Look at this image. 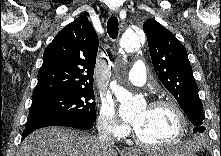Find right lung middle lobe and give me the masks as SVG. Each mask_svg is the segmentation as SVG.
Segmentation results:
<instances>
[{
  "mask_svg": "<svg viewBox=\"0 0 221 156\" xmlns=\"http://www.w3.org/2000/svg\"><path fill=\"white\" fill-rule=\"evenodd\" d=\"M93 89L59 92L35 98L26 126L50 122L96 121Z\"/></svg>",
  "mask_w": 221,
  "mask_h": 156,
  "instance_id": "1",
  "label": "right lung middle lobe"
}]
</instances>
